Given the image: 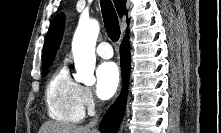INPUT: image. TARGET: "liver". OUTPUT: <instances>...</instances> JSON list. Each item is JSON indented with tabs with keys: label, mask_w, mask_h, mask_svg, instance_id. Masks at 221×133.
<instances>
[{
	"label": "liver",
	"mask_w": 221,
	"mask_h": 133,
	"mask_svg": "<svg viewBox=\"0 0 221 133\" xmlns=\"http://www.w3.org/2000/svg\"><path fill=\"white\" fill-rule=\"evenodd\" d=\"M39 133H93L87 126H78L61 122L48 121L44 123Z\"/></svg>",
	"instance_id": "liver-1"
}]
</instances>
